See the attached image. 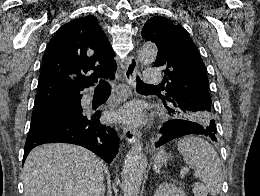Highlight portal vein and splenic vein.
Returning a JSON list of instances; mask_svg holds the SVG:
<instances>
[{"label":"portal vein and splenic vein","mask_w":260,"mask_h":196,"mask_svg":"<svg viewBox=\"0 0 260 196\" xmlns=\"http://www.w3.org/2000/svg\"><path fill=\"white\" fill-rule=\"evenodd\" d=\"M187 172H189V168H182V170H180V174H182V176H185Z\"/></svg>","instance_id":"18ae733b"}]
</instances>
